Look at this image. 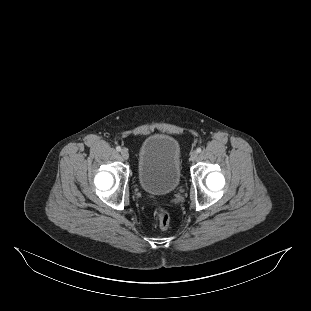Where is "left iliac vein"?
I'll list each match as a JSON object with an SVG mask.
<instances>
[{
  "label": "left iliac vein",
  "instance_id": "4c4485c4",
  "mask_svg": "<svg viewBox=\"0 0 311 311\" xmlns=\"http://www.w3.org/2000/svg\"><path fill=\"white\" fill-rule=\"evenodd\" d=\"M198 153L196 151H192L190 153V160L195 161L197 159Z\"/></svg>",
  "mask_w": 311,
  "mask_h": 311
}]
</instances>
